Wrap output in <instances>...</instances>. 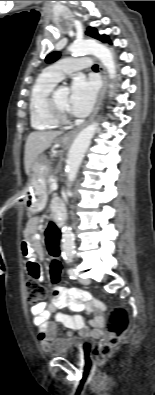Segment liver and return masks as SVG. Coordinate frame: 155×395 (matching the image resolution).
Here are the masks:
<instances>
[{
  "label": "liver",
  "mask_w": 155,
  "mask_h": 395,
  "mask_svg": "<svg viewBox=\"0 0 155 395\" xmlns=\"http://www.w3.org/2000/svg\"><path fill=\"white\" fill-rule=\"evenodd\" d=\"M61 131L32 132L29 134L25 144L24 165L25 172L30 175L32 166L39 155L47 150Z\"/></svg>",
  "instance_id": "6515ba94"
}]
</instances>
